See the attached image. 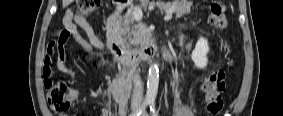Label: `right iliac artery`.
<instances>
[{
  "label": "right iliac artery",
  "mask_w": 283,
  "mask_h": 116,
  "mask_svg": "<svg viewBox=\"0 0 283 116\" xmlns=\"http://www.w3.org/2000/svg\"><path fill=\"white\" fill-rule=\"evenodd\" d=\"M147 106V103L144 102L143 105L133 114V116H140L142 111L145 109V107ZM124 113H122L123 115Z\"/></svg>",
  "instance_id": "obj_1"
}]
</instances>
